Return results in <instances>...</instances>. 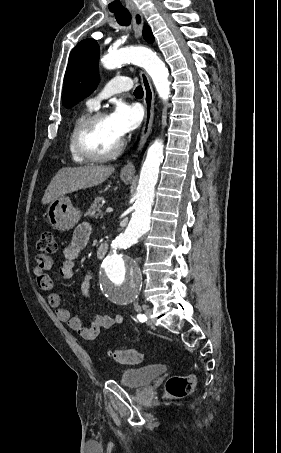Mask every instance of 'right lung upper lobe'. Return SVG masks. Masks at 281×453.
Segmentation results:
<instances>
[{
	"instance_id": "1",
	"label": "right lung upper lobe",
	"mask_w": 281,
	"mask_h": 453,
	"mask_svg": "<svg viewBox=\"0 0 281 453\" xmlns=\"http://www.w3.org/2000/svg\"><path fill=\"white\" fill-rule=\"evenodd\" d=\"M143 35L144 38L149 42L152 43L154 41V37L152 35V32L148 26H145L143 29Z\"/></svg>"
}]
</instances>
